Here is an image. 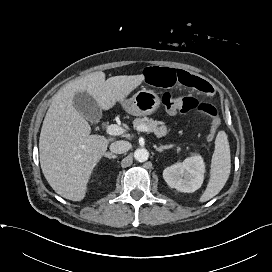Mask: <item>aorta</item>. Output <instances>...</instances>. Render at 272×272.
Returning <instances> with one entry per match:
<instances>
[{"label":"aorta","instance_id":"aorta-1","mask_svg":"<svg viewBox=\"0 0 272 272\" xmlns=\"http://www.w3.org/2000/svg\"><path fill=\"white\" fill-rule=\"evenodd\" d=\"M134 158L138 162H145L149 158V152L145 148H138L134 152Z\"/></svg>","mask_w":272,"mask_h":272}]
</instances>
